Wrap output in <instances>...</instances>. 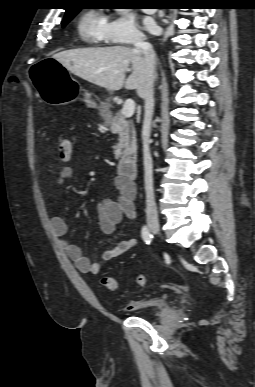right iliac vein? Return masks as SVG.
I'll return each instance as SVG.
<instances>
[{"instance_id":"1","label":"right iliac vein","mask_w":255,"mask_h":387,"mask_svg":"<svg viewBox=\"0 0 255 387\" xmlns=\"http://www.w3.org/2000/svg\"><path fill=\"white\" fill-rule=\"evenodd\" d=\"M150 228L152 231L156 232V233H160V228H159V224L158 223H150Z\"/></svg>"}]
</instances>
